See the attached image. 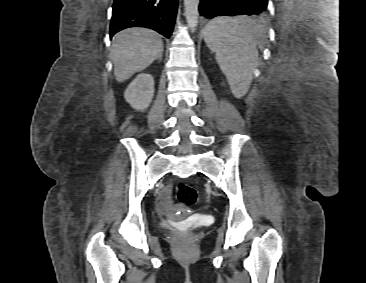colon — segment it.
Masks as SVG:
<instances>
[{"mask_svg":"<svg viewBox=\"0 0 366 283\" xmlns=\"http://www.w3.org/2000/svg\"><path fill=\"white\" fill-rule=\"evenodd\" d=\"M175 192L178 201L184 205H193L197 200L195 188L188 183H178Z\"/></svg>","mask_w":366,"mask_h":283,"instance_id":"obj_1","label":"colon"}]
</instances>
